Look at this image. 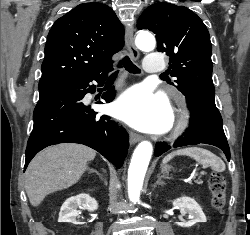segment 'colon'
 <instances>
[{
  "label": "colon",
  "mask_w": 250,
  "mask_h": 235,
  "mask_svg": "<svg viewBox=\"0 0 250 235\" xmlns=\"http://www.w3.org/2000/svg\"><path fill=\"white\" fill-rule=\"evenodd\" d=\"M211 203L217 210L222 209L226 201V181L222 174L213 173L208 180Z\"/></svg>",
  "instance_id": "5ec220e1"
}]
</instances>
